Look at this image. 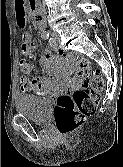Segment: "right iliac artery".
Listing matches in <instances>:
<instances>
[{
	"label": "right iliac artery",
	"mask_w": 123,
	"mask_h": 167,
	"mask_svg": "<svg viewBox=\"0 0 123 167\" xmlns=\"http://www.w3.org/2000/svg\"><path fill=\"white\" fill-rule=\"evenodd\" d=\"M49 36H50L49 32H43V34H42V37H43L44 39H48Z\"/></svg>",
	"instance_id": "obj_1"
}]
</instances>
